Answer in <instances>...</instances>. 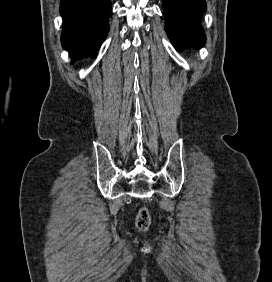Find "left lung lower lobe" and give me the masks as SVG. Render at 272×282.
<instances>
[{"mask_svg": "<svg viewBox=\"0 0 272 282\" xmlns=\"http://www.w3.org/2000/svg\"><path fill=\"white\" fill-rule=\"evenodd\" d=\"M166 32L179 51L200 48L205 35L200 19L206 10L205 0H163Z\"/></svg>", "mask_w": 272, "mask_h": 282, "instance_id": "1", "label": "left lung lower lobe"}]
</instances>
